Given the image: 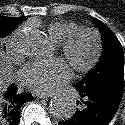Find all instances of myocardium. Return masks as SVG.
Returning a JSON list of instances; mask_svg holds the SVG:
<instances>
[{
    "instance_id": "f54148a6",
    "label": "myocardium",
    "mask_w": 125,
    "mask_h": 125,
    "mask_svg": "<svg viewBox=\"0 0 125 125\" xmlns=\"http://www.w3.org/2000/svg\"><path fill=\"white\" fill-rule=\"evenodd\" d=\"M84 36H89L93 42L92 51L86 60H79L75 56L76 46ZM103 45L100 33L88 27H78L61 44V52L69 62L72 69L79 73L92 70L99 62L102 55Z\"/></svg>"
}]
</instances>
